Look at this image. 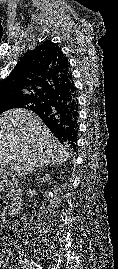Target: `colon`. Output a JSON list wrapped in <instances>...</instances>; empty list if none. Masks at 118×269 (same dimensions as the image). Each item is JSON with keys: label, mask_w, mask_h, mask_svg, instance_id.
I'll list each match as a JSON object with an SVG mask.
<instances>
[{"label": "colon", "mask_w": 118, "mask_h": 269, "mask_svg": "<svg viewBox=\"0 0 118 269\" xmlns=\"http://www.w3.org/2000/svg\"><path fill=\"white\" fill-rule=\"evenodd\" d=\"M4 203L2 199L0 198V213L3 211Z\"/></svg>", "instance_id": "1"}]
</instances>
